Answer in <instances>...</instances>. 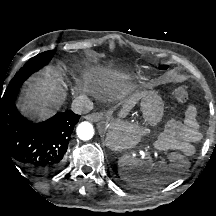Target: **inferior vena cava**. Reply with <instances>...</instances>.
Wrapping results in <instances>:
<instances>
[{"mask_svg":"<svg viewBox=\"0 0 216 216\" xmlns=\"http://www.w3.org/2000/svg\"><path fill=\"white\" fill-rule=\"evenodd\" d=\"M71 109L76 114H85L93 109V102L86 96L80 95L73 100Z\"/></svg>","mask_w":216,"mask_h":216,"instance_id":"602c4592","label":"inferior vena cava"}]
</instances>
